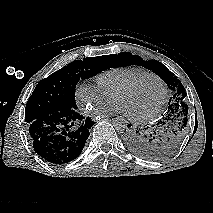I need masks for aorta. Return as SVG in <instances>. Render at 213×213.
<instances>
[{
  "instance_id": "obj_1",
  "label": "aorta",
  "mask_w": 213,
  "mask_h": 213,
  "mask_svg": "<svg viewBox=\"0 0 213 213\" xmlns=\"http://www.w3.org/2000/svg\"><path fill=\"white\" fill-rule=\"evenodd\" d=\"M112 124L117 132L123 133L127 129V121L122 116L113 119Z\"/></svg>"
}]
</instances>
